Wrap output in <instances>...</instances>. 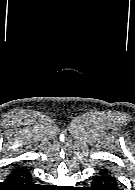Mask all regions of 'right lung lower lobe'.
<instances>
[{"instance_id": "1", "label": "right lung lower lobe", "mask_w": 135, "mask_h": 190, "mask_svg": "<svg viewBox=\"0 0 135 190\" xmlns=\"http://www.w3.org/2000/svg\"><path fill=\"white\" fill-rule=\"evenodd\" d=\"M31 174L22 166H16L8 176L6 183H1L0 189L5 190H40V185L31 183Z\"/></svg>"}]
</instances>
